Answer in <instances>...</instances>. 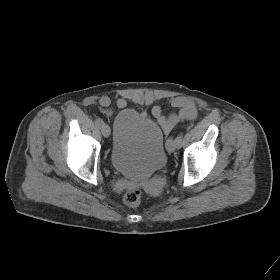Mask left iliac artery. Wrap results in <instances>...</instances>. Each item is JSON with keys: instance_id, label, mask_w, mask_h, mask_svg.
Returning <instances> with one entry per match:
<instances>
[{"instance_id": "44dca946", "label": "left iliac artery", "mask_w": 280, "mask_h": 280, "mask_svg": "<svg viewBox=\"0 0 280 280\" xmlns=\"http://www.w3.org/2000/svg\"><path fill=\"white\" fill-rule=\"evenodd\" d=\"M182 137H183L182 133H180V134L176 137V142H177L178 145L181 144V142H182Z\"/></svg>"}]
</instances>
